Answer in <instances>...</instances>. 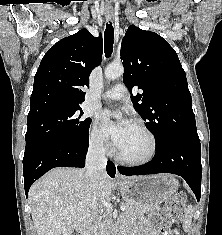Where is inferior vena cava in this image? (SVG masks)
Listing matches in <instances>:
<instances>
[{"label": "inferior vena cava", "instance_id": "inferior-vena-cava-1", "mask_svg": "<svg viewBox=\"0 0 222 235\" xmlns=\"http://www.w3.org/2000/svg\"><path fill=\"white\" fill-rule=\"evenodd\" d=\"M107 159L105 157V148L102 140H98L90 144L86 156V174L89 177L90 187L95 189L99 185L101 174L105 171ZM91 208L93 213L96 211V198L93 197L91 201ZM94 224L97 221L94 218ZM95 228V225L94 227Z\"/></svg>", "mask_w": 222, "mask_h": 235}]
</instances>
